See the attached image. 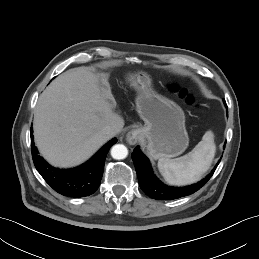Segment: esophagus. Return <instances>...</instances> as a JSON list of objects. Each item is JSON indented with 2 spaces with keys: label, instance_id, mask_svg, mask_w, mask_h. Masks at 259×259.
Segmentation results:
<instances>
[{
  "label": "esophagus",
  "instance_id": "esophagus-1",
  "mask_svg": "<svg viewBox=\"0 0 259 259\" xmlns=\"http://www.w3.org/2000/svg\"><path fill=\"white\" fill-rule=\"evenodd\" d=\"M141 137V132L139 129H132L126 135V141L130 145H135Z\"/></svg>",
  "mask_w": 259,
  "mask_h": 259
}]
</instances>
